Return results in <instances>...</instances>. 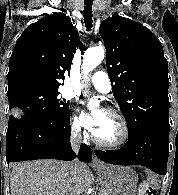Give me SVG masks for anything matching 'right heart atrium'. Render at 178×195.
<instances>
[{
  "label": "right heart atrium",
  "mask_w": 178,
  "mask_h": 195,
  "mask_svg": "<svg viewBox=\"0 0 178 195\" xmlns=\"http://www.w3.org/2000/svg\"><path fill=\"white\" fill-rule=\"evenodd\" d=\"M71 133L76 139H81L86 136V133L82 129L81 119L77 115H73L71 119Z\"/></svg>",
  "instance_id": "1"
}]
</instances>
